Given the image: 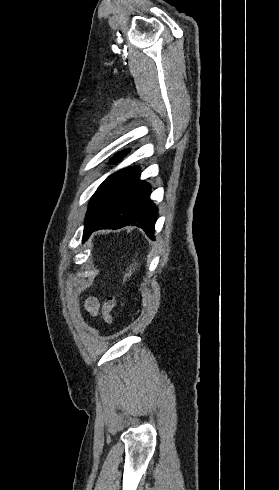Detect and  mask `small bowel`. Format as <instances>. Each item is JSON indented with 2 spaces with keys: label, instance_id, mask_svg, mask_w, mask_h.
Returning a JSON list of instances; mask_svg holds the SVG:
<instances>
[{
  "label": "small bowel",
  "instance_id": "small-bowel-1",
  "mask_svg": "<svg viewBox=\"0 0 279 490\" xmlns=\"http://www.w3.org/2000/svg\"><path fill=\"white\" fill-rule=\"evenodd\" d=\"M85 308L90 315H96L99 308L97 300L95 298L87 299Z\"/></svg>",
  "mask_w": 279,
  "mask_h": 490
}]
</instances>
